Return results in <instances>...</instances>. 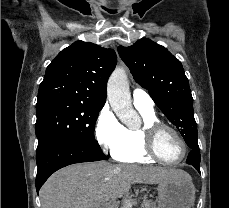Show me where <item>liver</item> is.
<instances>
[{
	"mask_svg": "<svg viewBox=\"0 0 229 208\" xmlns=\"http://www.w3.org/2000/svg\"><path fill=\"white\" fill-rule=\"evenodd\" d=\"M191 178L183 170L157 166H124L109 162L72 164L55 172L39 194L42 208H115L116 198L131 184H159L160 180Z\"/></svg>",
	"mask_w": 229,
	"mask_h": 208,
	"instance_id": "obj_1",
	"label": "liver"
}]
</instances>
